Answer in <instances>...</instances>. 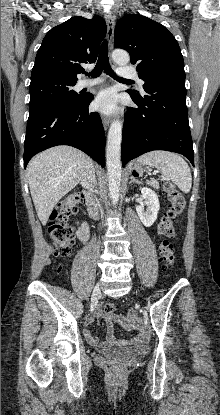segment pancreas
I'll return each instance as SVG.
<instances>
[{
    "label": "pancreas",
    "instance_id": "obj_1",
    "mask_svg": "<svg viewBox=\"0 0 220 415\" xmlns=\"http://www.w3.org/2000/svg\"><path fill=\"white\" fill-rule=\"evenodd\" d=\"M147 184L151 185L153 188L158 189L159 188V183L156 180H149L147 181Z\"/></svg>",
    "mask_w": 220,
    "mask_h": 415
}]
</instances>
